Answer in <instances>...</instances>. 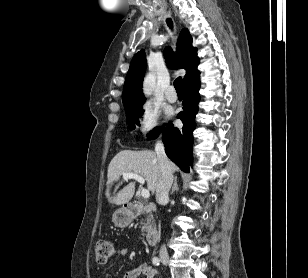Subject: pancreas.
I'll return each mask as SVG.
<instances>
[{"mask_svg":"<svg viewBox=\"0 0 308 278\" xmlns=\"http://www.w3.org/2000/svg\"><path fill=\"white\" fill-rule=\"evenodd\" d=\"M141 224H142L141 226L142 232L149 231L151 227L155 225L153 215L152 214L148 215L147 218L145 219V222H142Z\"/></svg>","mask_w":308,"mask_h":278,"instance_id":"cf45deb5","label":"pancreas"}]
</instances>
